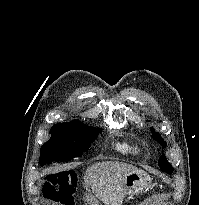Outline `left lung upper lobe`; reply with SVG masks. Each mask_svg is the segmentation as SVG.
Returning a JSON list of instances; mask_svg holds the SVG:
<instances>
[{
    "instance_id": "5c2ea615",
    "label": "left lung upper lobe",
    "mask_w": 199,
    "mask_h": 205,
    "mask_svg": "<svg viewBox=\"0 0 199 205\" xmlns=\"http://www.w3.org/2000/svg\"><path fill=\"white\" fill-rule=\"evenodd\" d=\"M151 131L153 132L152 137L159 142L163 147H165L167 144L164 141V139H162V137L160 136V134L156 133L154 128H151ZM158 165L159 167L164 170L167 173H172L173 172V167L171 166V164L167 161L166 157L164 155H162L159 158L158 161Z\"/></svg>"
}]
</instances>
